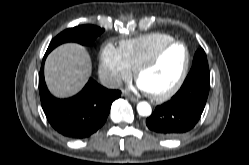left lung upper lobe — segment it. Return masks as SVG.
<instances>
[{
  "label": "left lung upper lobe",
  "mask_w": 249,
  "mask_h": 165,
  "mask_svg": "<svg viewBox=\"0 0 249 165\" xmlns=\"http://www.w3.org/2000/svg\"><path fill=\"white\" fill-rule=\"evenodd\" d=\"M197 72L210 74L206 54L202 48L197 50L195 53L192 68L189 74Z\"/></svg>",
  "instance_id": "left-lung-upper-lobe-1"
}]
</instances>
